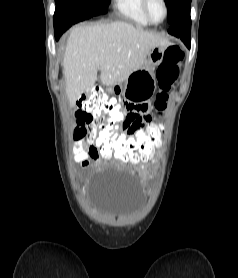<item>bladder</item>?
<instances>
[{
  "label": "bladder",
  "mask_w": 238,
  "mask_h": 278,
  "mask_svg": "<svg viewBox=\"0 0 238 278\" xmlns=\"http://www.w3.org/2000/svg\"><path fill=\"white\" fill-rule=\"evenodd\" d=\"M138 175H126L116 167L103 175H92V180H138ZM88 199H95L100 214L119 218L136 213L143 205L141 181H88ZM95 194H98L97 196Z\"/></svg>",
  "instance_id": "1"
}]
</instances>
